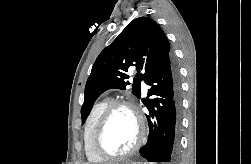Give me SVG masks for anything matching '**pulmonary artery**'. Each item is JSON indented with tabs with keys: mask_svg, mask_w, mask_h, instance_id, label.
Returning <instances> with one entry per match:
<instances>
[{
	"mask_svg": "<svg viewBox=\"0 0 251 164\" xmlns=\"http://www.w3.org/2000/svg\"><path fill=\"white\" fill-rule=\"evenodd\" d=\"M141 86H142L143 93H146L147 92V86H146V84L142 82Z\"/></svg>",
	"mask_w": 251,
	"mask_h": 164,
	"instance_id": "e3ab8cb5",
	"label": "pulmonary artery"
}]
</instances>
